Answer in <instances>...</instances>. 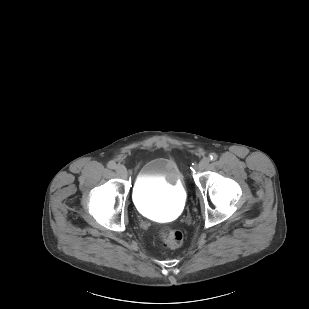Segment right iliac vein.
I'll return each mask as SVG.
<instances>
[{"instance_id":"obj_1","label":"right iliac vein","mask_w":309,"mask_h":309,"mask_svg":"<svg viewBox=\"0 0 309 309\" xmlns=\"http://www.w3.org/2000/svg\"><path fill=\"white\" fill-rule=\"evenodd\" d=\"M116 172L121 178L127 177V170H126L125 166H123V165H117L116 166Z\"/></svg>"}]
</instances>
